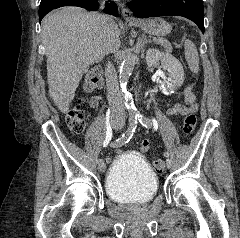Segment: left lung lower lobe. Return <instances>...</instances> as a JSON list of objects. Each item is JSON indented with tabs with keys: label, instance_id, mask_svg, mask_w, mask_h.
Wrapping results in <instances>:
<instances>
[{
	"label": "left lung lower lobe",
	"instance_id": "1",
	"mask_svg": "<svg viewBox=\"0 0 240 238\" xmlns=\"http://www.w3.org/2000/svg\"><path fill=\"white\" fill-rule=\"evenodd\" d=\"M127 5L138 18L168 15L188 18L204 33L202 0H132Z\"/></svg>",
	"mask_w": 240,
	"mask_h": 238
}]
</instances>
